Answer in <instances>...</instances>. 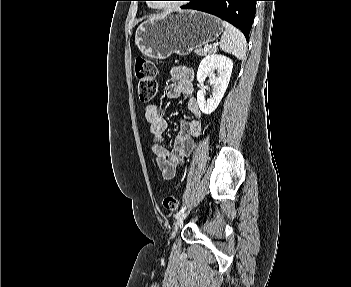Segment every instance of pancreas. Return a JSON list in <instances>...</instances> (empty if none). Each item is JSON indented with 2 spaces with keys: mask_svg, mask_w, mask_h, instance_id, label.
I'll return each mask as SVG.
<instances>
[{
  "mask_svg": "<svg viewBox=\"0 0 351 287\" xmlns=\"http://www.w3.org/2000/svg\"><path fill=\"white\" fill-rule=\"evenodd\" d=\"M213 51H214V49H209V48H208V50L206 51V50H204L203 48L199 47V48H197V49L195 50V53H196L197 55H199V56H204V55H207V54H209V53H211V52H213Z\"/></svg>",
  "mask_w": 351,
  "mask_h": 287,
  "instance_id": "pancreas-1",
  "label": "pancreas"
}]
</instances>
